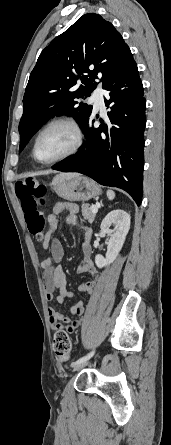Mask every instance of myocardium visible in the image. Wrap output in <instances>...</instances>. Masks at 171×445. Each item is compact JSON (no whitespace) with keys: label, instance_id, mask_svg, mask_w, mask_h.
Segmentation results:
<instances>
[{"label":"myocardium","instance_id":"1","mask_svg":"<svg viewBox=\"0 0 171 445\" xmlns=\"http://www.w3.org/2000/svg\"><path fill=\"white\" fill-rule=\"evenodd\" d=\"M56 126H65L68 127L74 136V140L73 143L71 145V147L65 151L64 153H62L61 155H59L58 157L48 160V161H43L40 160L37 156V144L41 138V136L48 131L49 129L56 127ZM83 140H84V133H83V129L80 126V124L69 117H60V118H55L52 119L51 121H49L48 123H46L41 130L38 132V134L35 137V140L33 142V147H32V155L33 158L40 164L43 165H51V164H55L63 159H66L72 155H74L76 152H78V150L80 149V147L83 144Z\"/></svg>","mask_w":171,"mask_h":445}]
</instances>
